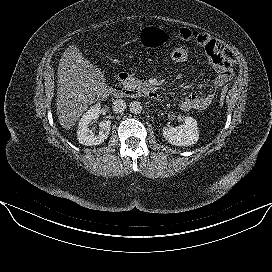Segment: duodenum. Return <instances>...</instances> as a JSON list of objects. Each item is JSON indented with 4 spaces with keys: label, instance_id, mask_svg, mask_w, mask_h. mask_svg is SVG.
<instances>
[{
    "label": "duodenum",
    "instance_id": "1",
    "mask_svg": "<svg viewBox=\"0 0 272 272\" xmlns=\"http://www.w3.org/2000/svg\"><path fill=\"white\" fill-rule=\"evenodd\" d=\"M130 75L126 72H120L118 74L117 80L118 82L114 84L110 91L115 96H132L139 95L146 98H149L154 101L162 102L164 101L163 95H161L157 90H155L152 86H143L136 91H132L124 87V83L129 81Z\"/></svg>",
    "mask_w": 272,
    "mask_h": 272
}]
</instances>
